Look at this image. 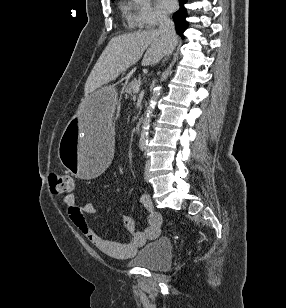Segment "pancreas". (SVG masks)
<instances>
[{
    "label": "pancreas",
    "instance_id": "cf45deb5",
    "mask_svg": "<svg viewBox=\"0 0 286 308\" xmlns=\"http://www.w3.org/2000/svg\"><path fill=\"white\" fill-rule=\"evenodd\" d=\"M137 85H140V81L134 79L132 82H130L124 89V92L128 95L134 94V89Z\"/></svg>",
    "mask_w": 286,
    "mask_h": 308
}]
</instances>
